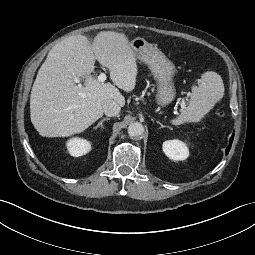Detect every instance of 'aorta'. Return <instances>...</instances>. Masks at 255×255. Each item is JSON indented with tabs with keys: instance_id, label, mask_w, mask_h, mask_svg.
I'll list each match as a JSON object with an SVG mask.
<instances>
[{
	"instance_id": "1",
	"label": "aorta",
	"mask_w": 255,
	"mask_h": 255,
	"mask_svg": "<svg viewBox=\"0 0 255 255\" xmlns=\"http://www.w3.org/2000/svg\"><path fill=\"white\" fill-rule=\"evenodd\" d=\"M144 133V127L139 122L131 123L128 127V134L130 137H139Z\"/></svg>"
}]
</instances>
